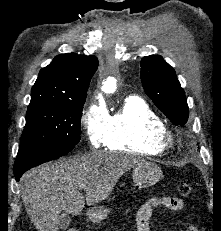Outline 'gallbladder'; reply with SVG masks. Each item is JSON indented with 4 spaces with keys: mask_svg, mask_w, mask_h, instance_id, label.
Here are the masks:
<instances>
[{
    "mask_svg": "<svg viewBox=\"0 0 221 231\" xmlns=\"http://www.w3.org/2000/svg\"><path fill=\"white\" fill-rule=\"evenodd\" d=\"M70 224V217L67 212H63L58 217V228L62 231L66 230Z\"/></svg>",
    "mask_w": 221,
    "mask_h": 231,
    "instance_id": "bac80fb5",
    "label": "gallbladder"
}]
</instances>
